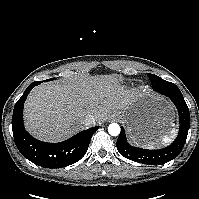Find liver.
Returning <instances> with one entry per match:
<instances>
[{
  "instance_id": "6515ba94",
  "label": "liver",
  "mask_w": 199,
  "mask_h": 199,
  "mask_svg": "<svg viewBox=\"0 0 199 199\" xmlns=\"http://www.w3.org/2000/svg\"><path fill=\"white\" fill-rule=\"evenodd\" d=\"M133 99L110 75L45 83L26 100L25 125L41 140L60 141L86 128L83 121L88 114L100 122L112 112L127 109Z\"/></svg>"
}]
</instances>
